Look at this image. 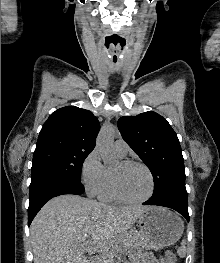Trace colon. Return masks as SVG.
<instances>
[{"label": "colon", "instance_id": "5ec220e1", "mask_svg": "<svg viewBox=\"0 0 220 263\" xmlns=\"http://www.w3.org/2000/svg\"><path fill=\"white\" fill-rule=\"evenodd\" d=\"M166 259L168 263H175L176 262V255L172 251H168L166 253Z\"/></svg>", "mask_w": 220, "mask_h": 263}]
</instances>
